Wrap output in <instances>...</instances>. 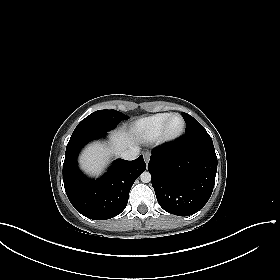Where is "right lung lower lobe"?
<instances>
[{"mask_svg": "<svg viewBox=\"0 0 280 280\" xmlns=\"http://www.w3.org/2000/svg\"><path fill=\"white\" fill-rule=\"evenodd\" d=\"M106 132L71 137L65 152L63 182L74 208L93 220H106L119 215L126 207L130 189L145 171L143 155L133 161L118 159L107 173L97 180L89 179L77 167V155L91 140L104 137Z\"/></svg>", "mask_w": 280, "mask_h": 280, "instance_id": "right-lung-lower-lobe-1", "label": "right lung lower lobe"}]
</instances>
